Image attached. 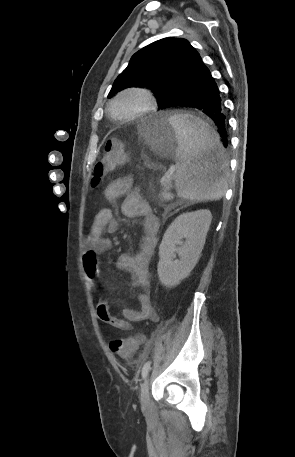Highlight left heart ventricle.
I'll return each mask as SVG.
<instances>
[{"label": "left heart ventricle", "mask_w": 295, "mask_h": 457, "mask_svg": "<svg viewBox=\"0 0 295 457\" xmlns=\"http://www.w3.org/2000/svg\"><path fill=\"white\" fill-rule=\"evenodd\" d=\"M142 106V100L136 95H126L120 98L114 110L118 116H127L137 111Z\"/></svg>", "instance_id": "left-heart-ventricle-1"}]
</instances>
